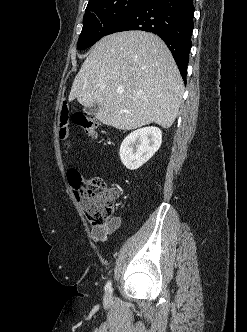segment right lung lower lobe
Here are the masks:
<instances>
[{"label":"right lung lower lobe","instance_id":"98d812e1","mask_svg":"<svg viewBox=\"0 0 247 332\" xmlns=\"http://www.w3.org/2000/svg\"><path fill=\"white\" fill-rule=\"evenodd\" d=\"M193 16V0H147L117 20L106 35L127 30L157 34L168 46L186 82Z\"/></svg>","mask_w":247,"mask_h":332}]
</instances>
